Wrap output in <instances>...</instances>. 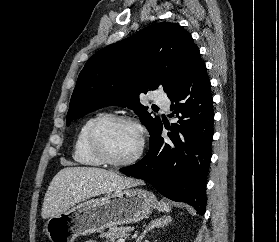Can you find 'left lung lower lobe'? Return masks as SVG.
Instances as JSON below:
<instances>
[{"mask_svg": "<svg viewBox=\"0 0 279 242\" xmlns=\"http://www.w3.org/2000/svg\"><path fill=\"white\" fill-rule=\"evenodd\" d=\"M175 104L169 139L161 137L162 123L152 134L150 148L138 163L121 168L127 176L145 180L165 197L185 202L203 215L213 138V98L206 66L199 51L180 84L168 95Z\"/></svg>", "mask_w": 279, "mask_h": 242, "instance_id": "1", "label": "left lung lower lobe"}]
</instances>
